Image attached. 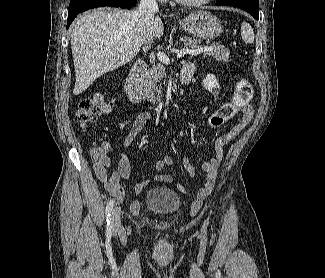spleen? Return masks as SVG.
<instances>
[{
	"mask_svg": "<svg viewBox=\"0 0 325 278\" xmlns=\"http://www.w3.org/2000/svg\"><path fill=\"white\" fill-rule=\"evenodd\" d=\"M241 35L245 43H253L254 42V32L252 27L243 22L241 25Z\"/></svg>",
	"mask_w": 325,
	"mask_h": 278,
	"instance_id": "1",
	"label": "spleen"
}]
</instances>
